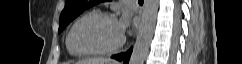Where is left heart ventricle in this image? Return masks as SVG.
Listing matches in <instances>:
<instances>
[{"instance_id":"obj_1","label":"left heart ventricle","mask_w":242,"mask_h":64,"mask_svg":"<svg viewBox=\"0 0 242 64\" xmlns=\"http://www.w3.org/2000/svg\"><path fill=\"white\" fill-rule=\"evenodd\" d=\"M121 37L116 21L90 17L77 26L73 41L81 50H97L112 47L120 41Z\"/></svg>"}]
</instances>
